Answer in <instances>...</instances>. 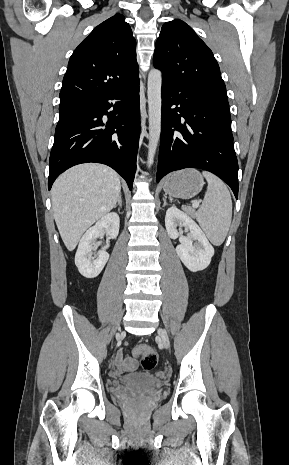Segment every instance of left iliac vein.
Instances as JSON below:
<instances>
[{
  "instance_id": "4c4485c4",
  "label": "left iliac vein",
  "mask_w": 289,
  "mask_h": 465,
  "mask_svg": "<svg viewBox=\"0 0 289 465\" xmlns=\"http://www.w3.org/2000/svg\"><path fill=\"white\" fill-rule=\"evenodd\" d=\"M158 334L161 337L164 346L168 348L170 343H169V338L167 336V333L163 329H159Z\"/></svg>"
}]
</instances>
